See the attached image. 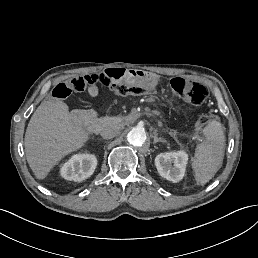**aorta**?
<instances>
[{
	"label": "aorta",
	"instance_id": "1",
	"mask_svg": "<svg viewBox=\"0 0 258 258\" xmlns=\"http://www.w3.org/2000/svg\"><path fill=\"white\" fill-rule=\"evenodd\" d=\"M127 140L135 147H141L147 140V135L143 127H133L127 134Z\"/></svg>",
	"mask_w": 258,
	"mask_h": 258
}]
</instances>
